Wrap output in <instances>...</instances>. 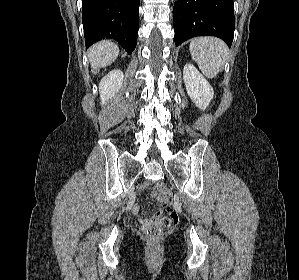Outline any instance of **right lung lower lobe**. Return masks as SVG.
Instances as JSON below:
<instances>
[{
  "mask_svg": "<svg viewBox=\"0 0 299 280\" xmlns=\"http://www.w3.org/2000/svg\"><path fill=\"white\" fill-rule=\"evenodd\" d=\"M82 1L86 47L102 39H114L131 54L137 43L140 0Z\"/></svg>",
  "mask_w": 299,
  "mask_h": 280,
  "instance_id": "1",
  "label": "right lung lower lobe"
}]
</instances>
